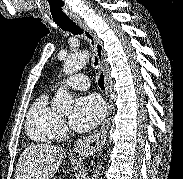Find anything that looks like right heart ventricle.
Masks as SVG:
<instances>
[{
  "label": "right heart ventricle",
  "instance_id": "e07e8e85",
  "mask_svg": "<svg viewBox=\"0 0 183 179\" xmlns=\"http://www.w3.org/2000/svg\"><path fill=\"white\" fill-rule=\"evenodd\" d=\"M59 117L49 104V95L40 94L33 102L26 122L28 135L37 142H50L56 135Z\"/></svg>",
  "mask_w": 183,
  "mask_h": 179
}]
</instances>
